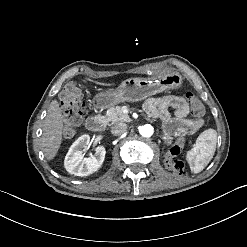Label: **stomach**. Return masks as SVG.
Here are the masks:
<instances>
[{"label": "stomach", "instance_id": "stomach-1", "mask_svg": "<svg viewBox=\"0 0 247 247\" xmlns=\"http://www.w3.org/2000/svg\"><path fill=\"white\" fill-rule=\"evenodd\" d=\"M183 78L176 71H166L156 78H129L115 90L101 92L95 96L97 108H109L120 102L141 101L168 89H178Z\"/></svg>", "mask_w": 247, "mask_h": 247}]
</instances>
